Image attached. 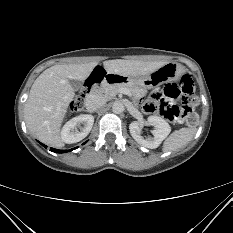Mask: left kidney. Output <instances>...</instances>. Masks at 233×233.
<instances>
[{"label": "left kidney", "mask_w": 233, "mask_h": 233, "mask_svg": "<svg viewBox=\"0 0 233 233\" xmlns=\"http://www.w3.org/2000/svg\"><path fill=\"white\" fill-rule=\"evenodd\" d=\"M149 125L154 126L153 137L144 139L141 136V124L138 121H133L129 125L131 136L142 146L155 149L169 135L171 131L170 125L161 117L150 116L147 119Z\"/></svg>", "instance_id": "1"}]
</instances>
